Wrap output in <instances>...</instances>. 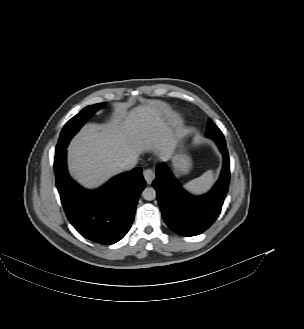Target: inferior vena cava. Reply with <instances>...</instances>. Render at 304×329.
<instances>
[{"label": "inferior vena cava", "instance_id": "602c4592", "mask_svg": "<svg viewBox=\"0 0 304 329\" xmlns=\"http://www.w3.org/2000/svg\"><path fill=\"white\" fill-rule=\"evenodd\" d=\"M136 163V158H126L125 160L119 163L118 167L121 170H130L135 167Z\"/></svg>", "mask_w": 304, "mask_h": 329}]
</instances>
